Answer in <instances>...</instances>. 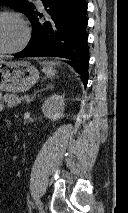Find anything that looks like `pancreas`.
Listing matches in <instances>:
<instances>
[{"instance_id": "obj_1", "label": "pancreas", "mask_w": 128, "mask_h": 213, "mask_svg": "<svg viewBox=\"0 0 128 213\" xmlns=\"http://www.w3.org/2000/svg\"><path fill=\"white\" fill-rule=\"evenodd\" d=\"M0 100L3 103H6L8 107H13L19 105L22 101V98L16 94H5L3 96L0 94Z\"/></svg>"}]
</instances>
